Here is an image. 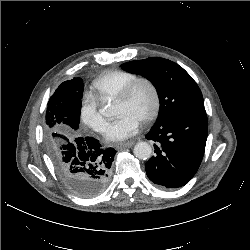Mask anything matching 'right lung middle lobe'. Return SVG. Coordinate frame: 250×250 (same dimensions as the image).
<instances>
[{
    "label": "right lung middle lobe",
    "mask_w": 250,
    "mask_h": 250,
    "mask_svg": "<svg viewBox=\"0 0 250 250\" xmlns=\"http://www.w3.org/2000/svg\"><path fill=\"white\" fill-rule=\"evenodd\" d=\"M83 89L82 79L74 78L60 84L49 99L45 121V141L52 160L60 155L62 141L65 138L60 133L59 124H66L74 130L79 127Z\"/></svg>",
    "instance_id": "dd1d6c3e"
}]
</instances>
